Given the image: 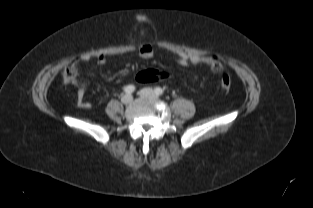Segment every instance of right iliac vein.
<instances>
[{
  "label": "right iliac vein",
  "instance_id": "1",
  "mask_svg": "<svg viewBox=\"0 0 313 208\" xmlns=\"http://www.w3.org/2000/svg\"><path fill=\"white\" fill-rule=\"evenodd\" d=\"M132 100H133V97L130 94H126V95L122 96V98H121V102L125 105L131 103Z\"/></svg>",
  "mask_w": 313,
  "mask_h": 208
}]
</instances>
